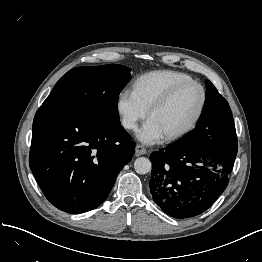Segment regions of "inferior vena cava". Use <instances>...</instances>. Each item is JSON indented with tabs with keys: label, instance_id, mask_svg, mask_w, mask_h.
Returning <instances> with one entry per match:
<instances>
[{
	"label": "inferior vena cava",
	"instance_id": "obj_1",
	"mask_svg": "<svg viewBox=\"0 0 262 262\" xmlns=\"http://www.w3.org/2000/svg\"><path fill=\"white\" fill-rule=\"evenodd\" d=\"M122 124L125 128H128V129H131V128H135L136 127V124L135 122H133L132 120H129V119H124L122 121Z\"/></svg>",
	"mask_w": 262,
	"mask_h": 262
}]
</instances>
